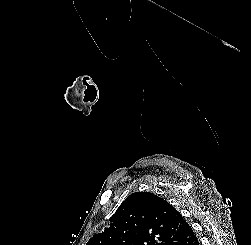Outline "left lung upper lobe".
<instances>
[{"instance_id": "obj_1", "label": "left lung upper lobe", "mask_w": 251, "mask_h": 245, "mask_svg": "<svg viewBox=\"0 0 251 245\" xmlns=\"http://www.w3.org/2000/svg\"><path fill=\"white\" fill-rule=\"evenodd\" d=\"M109 221L86 245H169L188 224L178 210L150 192L129 195Z\"/></svg>"}]
</instances>
